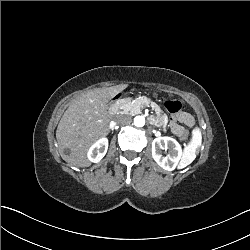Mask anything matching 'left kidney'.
Segmentation results:
<instances>
[{
  "label": "left kidney",
  "instance_id": "1",
  "mask_svg": "<svg viewBox=\"0 0 250 250\" xmlns=\"http://www.w3.org/2000/svg\"><path fill=\"white\" fill-rule=\"evenodd\" d=\"M164 148L170 149V153L165 157L161 154V150ZM152 157L164 170L173 171L182 157V149L175 139L158 137L152 142Z\"/></svg>",
  "mask_w": 250,
  "mask_h": 250
}]
</instances>
